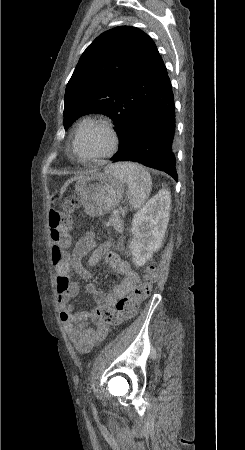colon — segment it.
Here are the masks:
<instances>
[{"mask_svg": "<svg viewBox=\"0 0 245 450\" xmlns=\"http://www.w3.org/2000/svg\"><path fill=\"white\" fill-rule=\"evenodd\" d=\"M57 209L50 211L48 216V227L51 246V260L54 265L62 263L67 255L71 242V212L77 204L75 197L65 198L58 202ZM158 267L155 264L147 265L143 270L142 282L137 284L132 292L117 301L114 306L102 305L96 308L97 320L117 326L123 321L133 318L139 306L148 299L151 294L152 285L158 279Z\"/></svg>", "mask_w": 245, "mask_h": 450, "instance_id": "5ec220e1", "label": "colon"}]
</instances>
